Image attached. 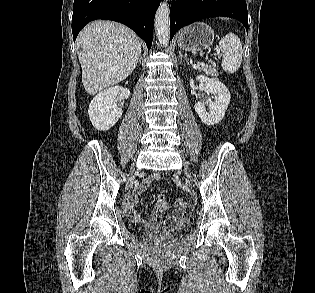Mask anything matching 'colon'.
I'll use <instances>...</instances> for the list:
<instances>
[{
  "instance_id": "1",
  "label": "colon",
  "mask_w": 315,
  "mask_h": 293,
  "mask_svg": "<svg viewBox=\"0 0 315 293\" xmlns=\"http://www.w3.org/2000/svg\"><path fill=\"white\" fill-rule=\"evenodd\" d=\"M243 110H246V107H243ZM243 114H246V111H243ZM176 206L178 208L177 211H184L188 207V203L185 199H178L176 201Z\"/></svg>"
}]
</instances>
